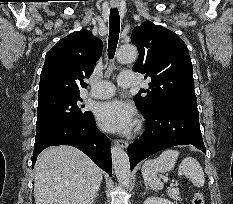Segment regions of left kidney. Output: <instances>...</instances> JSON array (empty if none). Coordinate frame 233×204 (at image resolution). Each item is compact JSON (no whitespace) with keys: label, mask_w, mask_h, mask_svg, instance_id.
I'll return each mask as SVG.
<instances>
[{"label":"left kidney","mask_w":233,"mask_h":204,"mask_svg":"<svg viewBox=\"0 0 233 204\" xmlns=\"http://www.w3.org/2000/svg\"><path fill=\"white\" fill-rule=\"evenodd\" d=\"M144 204H174V203L165 198L149 197L144 201Z\"/></svg>","instance_id":"1"}]
</instances>
